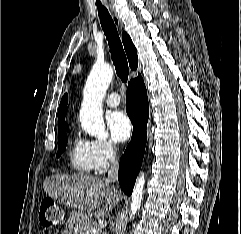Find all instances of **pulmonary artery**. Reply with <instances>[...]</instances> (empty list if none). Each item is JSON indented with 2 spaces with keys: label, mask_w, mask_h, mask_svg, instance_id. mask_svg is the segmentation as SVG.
Instances as JSON below:
<instances>
[{
  "label": "pulmonary artery",
  "mask_w": 241,
  "mask_h": 234,
  "mask_svg": "<svg viewBox=\"0 0 241 234\" xmlns=\"http://www.w3.org/2000/svg\"><path fill=\"white\" fill-rule=\"evenodd\" d=\"M120 103V96L117 93H111L105 99V104L108 107H116Z\"/></svg>",
  "instance_id": "e3ab8cb5"
}]
</instances>
